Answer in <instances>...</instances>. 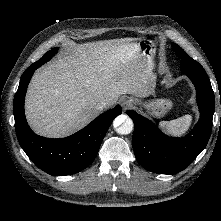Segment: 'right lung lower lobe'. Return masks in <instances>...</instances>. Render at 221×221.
Instances as JSON below:
<instances>
[{"mask_svg": "<svg viewBox=\"0 0 221 221\" xmlns=\"http://www.w3.org/2000/svg\"><path fill=\"white\" fill-rule=\"evenodd\" d=\"M43 64L37 61L25 70L15 94L13 111L17 138L28 157L46 173L56 176L75 174L93 162L112 121L122 113L121 106L104 112L69 137L50 139L36 135L25 118L24 98L34 71Z\"/></svg>", "mask_w": 221, "mask_h": 221, "instance_id": "1", "label": "right lung lower lobe"}]
</instances>
